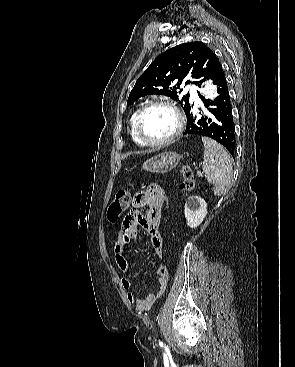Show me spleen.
I'll return each instance as SVG.
<instances>
[{
    "label": "spleen",
    "mask_w": 295,
    "mask_h": 367,
    "mask_svg": "<svg viewBox=\"0 0 295 367\" xmlns=\"http://www.w3.org/2000/svg\"><path fill=\"white\" fill-rule=\"evenodd\" d=\"M204 161L203 171L207 181L213 184L215 195H223L230 188L233 167L232 160L226 150L210 138L203 137Z\"/></svg>",
    "instance_id": "3e777b00"
}]
</instances>
